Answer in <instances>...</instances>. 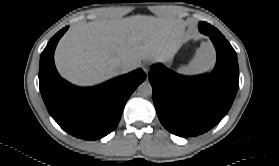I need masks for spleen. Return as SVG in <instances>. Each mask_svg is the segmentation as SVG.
Here are the masks:
<instances>
[{
    "label": "spleen",
    "instance_id": "obj_1",
    "mask_svg": "<svg viewBox=\"0 0 279 166\" xmlns=\"http://www.w3.org/2000/svg\"><path fill=\"white\" fill-rule=\"evenodd\" d=\"M215 63V51L213 46L206 42L197 49L193 61L180 69L184 74H200L209 71Z\"/></svg>",
    "mask_w": 279,
    "mask_h": 166
}]
</instances>
